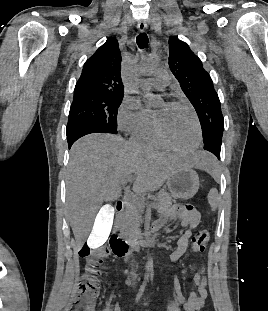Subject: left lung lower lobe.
I'll return each mask as SVG.
<instances>
[{
  "label": "left lung lower lobe",
  "instance_id": "1",
  "mask_svg": "<svg viewBox=\"0 0 268 311\" xmlns=\"http://www.w3.org/2000/svg\"><path fill=\"white\" fill-rule=\"evenodd\" d=\"M204 149L213 153L218 159H220L221 145L209 143L204 145Z\"/></svg>",
  "mask_w": 268,
  "mask_h": 311
}]
</instances>
